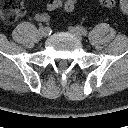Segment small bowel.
Listing matches in <instances>:
<instances>
[{"label":"small bowel","mask_w":128,"mask_h":128,"mask_svg":"<svg viewBox=\"0 0 128 128\" xmlns=\"http://www.w3.org/2000/svg\"><path fill=\"white\" fill-rule=\"evenodd\" d=\"M63 5V0H48L47 10L55 11L61 8ZM34 19L38 22H47L50 19V15L47 12H39L35 14Z\"/></svg>","instance_id":"1"}]
</instances>
